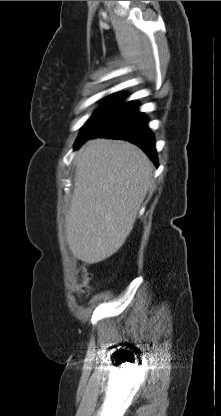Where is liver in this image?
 I'll list each match as a JSON object with an SVG mask.
<instances>
[{
	"mask_svg": "<svg viewBox=\"0 0 221 416\" xmlns=\"http://www.w3.org/2000/svg\"><path fill=\"white\" fill-rule=\"evenodd\" d=\"M152 172L148 156L129 142L98 138L80 148L65 221L77 259L94 264L119 250L152 185Z\"/></svg>",
	"mask_w": 221,
	"mask_h": 416,
	"instance_id": "1",
	"label": "liver"
}]
</instances>
